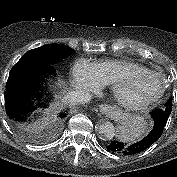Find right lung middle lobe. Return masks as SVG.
Here are the masks:
<instances>
[{
	"instance_id": "dd1d6c3e",
	"label": "right lung middle lobe",
	"mask_w": 177,
	"mask_h": 177,
	"mask_svg": "<svg viewBox=\"0 0 177 177\" xmlns=\"http://www.w3.org/2000/svg\"><path fill=\"white\" fill-rule=\"evenodd\" d=\"M73 52V49L64 45L47 44L28 51L23 57L41 58L50 63H56L64 59L65 57L72 55ZM62 120L63 118L59 117L57 119V122L60 124Z\"/></svg>"
}]
</instances>
